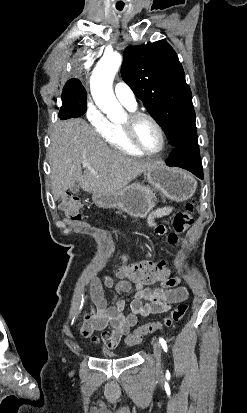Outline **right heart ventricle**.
I'll return each instance as SVG.
<instances>
[{
	"mask_svg": "<svg viewBox=\"0 0 247 413\" xmlns=\"http://www.w3.org/2000/svg\"><path fill=\"white\" fill-rule=\"evenodd\" d=\"M106 143L114 145V151H121L122 155L141 158L144 156L142 152L137 150L128 140L125 128L122 124H112L108 127V131L104 133Z\"/></svg>",
	"mask_w": 247,
	"mask_h": 413,
	"instance_id": "1",
	"label": "right heart ventricle"
}]
</instances>
